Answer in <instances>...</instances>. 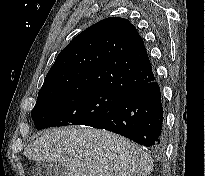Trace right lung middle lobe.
<instances>
[{
  "label": "right lung middle lobe",
  "instance_id": "right-lung-middle-lobe-1",
  "mask_svg": "<svg viewBox=\"0 0 205 176\" xmlns=\"http://www.w3.org/2000/svg\"><path fill=\"white\" fill-rule=\"evenodd\" d=\"M106 89H85L38 96L31 111L35 127L91 126L105 117L124 97Z\"/></svg>",
  "mask_w": 205,
  "mask_h": 176
}]
</instances>
